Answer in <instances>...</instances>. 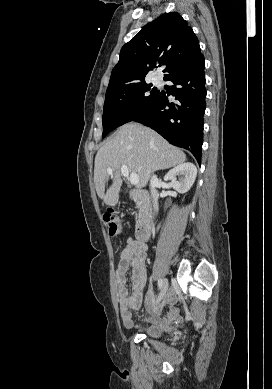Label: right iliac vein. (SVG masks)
<instances>
[{
	"label": "right iliac vein",
	"mask_w": 272,
	"mask_h": 389,
	"mask_svg": "<svg viewBox=\"0 0 272 389\" xmlns=\"http://www.w3.org/2000/svg\"><path fill=\"white\" fill-rule=\"evenodd\" d=\"M167 289H168V281H167V279H164V280H163V285H162V288H161V294H160V296L165 295ZM159 300H160V299H159Z\"/></svg>",
	"instance_id": "obj_1"
}]
</instances>
